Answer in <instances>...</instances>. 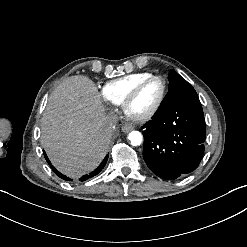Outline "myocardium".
<instances>
[{
    "label": "myocardium",
    "instance_id": "1",
    "mask_svg": "<svg viewBox=\"0 0 247 247\" xmlns=\"http://www.w3.org/2000/svg\"><path fill=\"white\" fill-rule=\"evenodd\" d=\"M150 80H158L162 84V94H161V97H160L158 103L156 104V106L151 111L147 112L146 114L137 116V117L133 116L134 119L139 121V122H146V121L153 119L159 113L161 108L163 107L165 100L167 98V92H168V86H167L166 80L162 76H159V75H149V76L141 79L140 81H138L132 87L130 92L123 98V100L121 102L122 109L125 112H128V107L137 97L140 88L147 81H150Z\"/></svg>",
    "mask_w": 247,
    "mask_h": 247
}]
</instances>
